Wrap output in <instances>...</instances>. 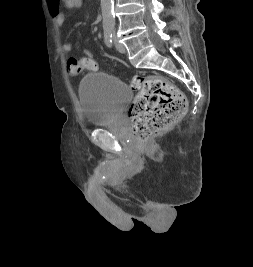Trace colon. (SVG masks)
Listing matches in <instances>:
<instances>
[{"label":"colon","mask_w":253,"mask_h":267,"mask_svg":"<svg viewBox=\"0 0 253 267\" xmlns=\"http://www.w3.org/2000/svg\"><path fill=\"white\" fill-rule=\"evenodd\" d=\"M83 54L82 58L70 57L67 60L69 74L98 69L97 62L91 58V51L84 48ZM130 86L138 91V95L130 106L128 116L133 134L142 142L160 134L186 111L184 94L160 76L134 75Z\"/></svg>","instance_id":"1"}]
</instances>
